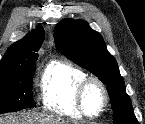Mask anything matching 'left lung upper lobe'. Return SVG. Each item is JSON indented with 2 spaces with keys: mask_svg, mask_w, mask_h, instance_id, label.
Instances as JSON below:
<instances>
[{
  "mask_svg": "<svg viewBox=\"0 0 145 124\" xmlns=\"http://www.w3.org/2000/svg\"><path fill=\"white\" fill-rule=\"evenodd\" d=\"M54 39L63 55L107 85L114 124H138L117 62L107 51L101 35L89 28L87 22L65 19L57 24Z\"/></svg>",
  "mask_w": 145,
  "mask_h": 124,
  "instance_id": "obj_1",
  "label": "left lung upper lobe"
}]
</instances>
